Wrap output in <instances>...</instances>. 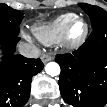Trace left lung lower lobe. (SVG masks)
<instances>
[{
	"label": "left lung lower lobe",
	"mask_w": 107,
	"mask_h": 107,
	"mask_svg": "<svg viewBox=\"0 0 107 107\" xmlns=\"http://www.w3.org/2000/svg\"><path fill=\"white\" fill-rule=\"evenodd\" d=\"M59 87L73 107H102L107 103V22L94 28L72 54H59Z\"/></svg>",
	"instance_id": "1"
}]
</instances>
